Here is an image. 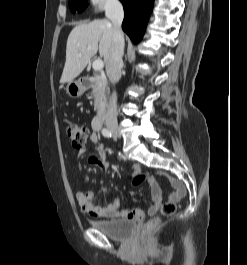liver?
<instances>
[{
    "mask_svg": "<svg viewBox=\"0 0 247 265\" xmlns=\"http://www.w3.org/2000/svg\"><path fill=\"white\" fill-rule=\"evenodd\" d=\"M112 39L113 25L106 19L74 27L68 36L60 83H69L79 76L98 50L106 62Z\"/></svg>",
    "mask_w": 247,
    "mask_h": 265,
    "instance_id": "liver-1",
    "label": "liver"
}]
</instances>
